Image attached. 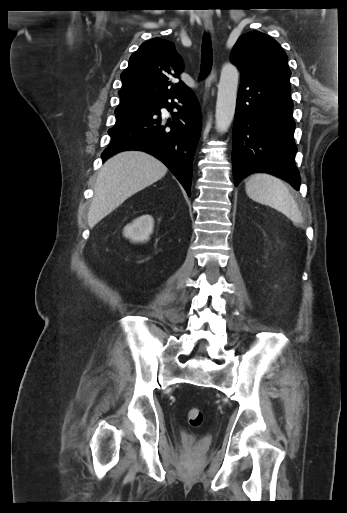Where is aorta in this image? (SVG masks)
I'll list each match as a JSON object with an SVG mask.
<instances>
[{
  "label": "aorta",
  "mask_w": 347,
  "mask_h": 513,
  "mask_svg": "<svg viewBox=\"0 0 347 513\" xmlns=\"http://www.w3.org/2000/svg\"><path fill=\"white\" fill-rule=\"evenodd\" d=\"M239 72L231 63H226L221 69L216 102V129L226 132L234 118L237 100Z\"/></svg>",
  "instance_id": "1"
}]
</instances>
